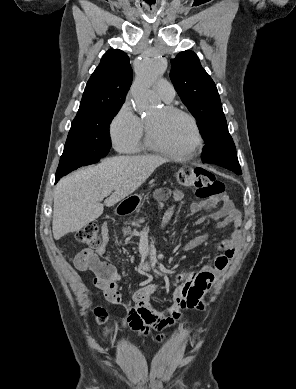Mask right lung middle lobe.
I'll use <instances>...</instances> for the list:
<instances>
[{
  "label": "right lung middle lobe",
  "mask_w": 296,
  "mask_h": 389,
  "mask_svg": "<svg viewBox=\"0 0 296 389\" xmlns=\"http://www.w3.org/2000/svg\"><path fill=\"white\" fill-rule=\"evenodd\" d=\"M121 106L74 119L57 171L97 163L110 150L109 125Z\"/></svg>",
  "instance_id": "dd1d6c3e"
}]
</instances>
